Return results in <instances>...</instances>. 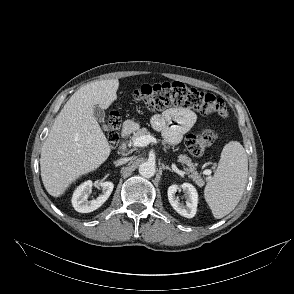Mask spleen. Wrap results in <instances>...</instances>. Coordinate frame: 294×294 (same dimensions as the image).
Wrapping results in <instances>:
<instances>
[{
  "label": "spleen",
  "instance_id": "obj_1",
  "mask_svg": "<svg viewBox=\"0 0 294 294\" xmlns=\"http://www.w3.org/2000/svg\"><path fill=\"white\" fill-rule=\"evenodd\" d=\"M248 175V159L243 146L230 141L221 152L219 165L204 189V197L213 216L229 214L243 195Z\"/></svg>",
  "mask_w": 294,
  "mask_h": 294
}]
</instances>
